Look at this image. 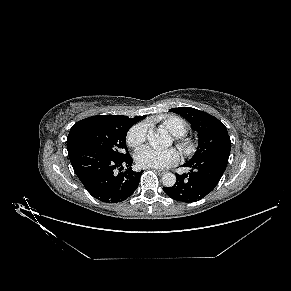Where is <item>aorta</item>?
<instances>
[{"mask_svg":"<svg viewBox=\"0 0 291 291\" xmlns=\"http://www.w3.org/2000/svg\"><path fill=\"white\" fill-rule=\"evenodd\" d=\"M147 139L151 146L160 147V146H169L172 143V139L168 132L163 129L149 130L147 134ZM162 183L165 187H172L176 183V176L173 173H165L162 176Z\"/></svg>","mask_w":291,"mask_h":291,"instance_id":"aorta-1","label":"aorta"}]
</instances>
